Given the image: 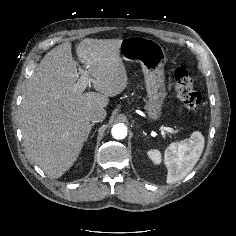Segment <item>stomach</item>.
I'll return each instance as SVG.
<instances>
[{
	"label": "stomach",
	"mask_w": 236,
	"mask_h": 236,
	"mask_svg": "<svg viewBox=\"0 0 236 236\" xmlns=\"http://www.w3.org/2000/svg\"><path fill=\"white\" fill-rule=\"evenodd\" d=\"M119 51L122 60L141 64L148 97L145 110L151 122L158 121L167 96L164 78L167 58L163 47L153 39L132 36L121 41Z\"/></svg>",
	"instance_id": "0dacf381"
}]
</instances>
